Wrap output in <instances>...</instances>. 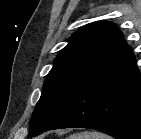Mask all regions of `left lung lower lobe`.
<instances>
[{"label": "left lung lower lobe", "instance_id": "1", "mask_svg": "<svg viewBox=\"0 0 141 139\" xmlns=\"http://www.w3.org/2000/svg\"><path fill=\"white\" fill-rule=\"evenodd\" d=\"M71 127L141 139V79L130 46L81 83L38 134Z\"/></svg>", "mask_w": 141, "mask_h": 139}]
</instances>
